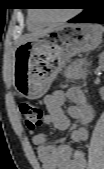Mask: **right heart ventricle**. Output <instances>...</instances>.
<instances>
[{
    "mask_svg": "<svg viewBox=\"0 0 104 169\" xmlns=\"http://www.w3.org/2000/svg\"><path fill=\"white\" fill-rule=\"evenodd\" d=\"M27 25H28V29L31 31H37L44 27V24L40 22L33 13L29 14Z\"/></svg>",
    "mask_w": 104,
    "mask_h": 169,
    "instance_id": "right-heart-ventricle-1",
    "label": "right heart ventricle"
}]
</instances>
